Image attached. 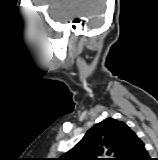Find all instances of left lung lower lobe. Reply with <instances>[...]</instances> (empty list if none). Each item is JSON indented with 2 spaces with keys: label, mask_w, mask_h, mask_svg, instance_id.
<instances>
[{
  "label": "left lung lower lobe",
  "mask_w": 158,
  "mask_h": 160,
  "mask_svg": "<svg viewBox=\"0 0 158 160\" xmlns=\"http://www.w3.org/2000/svg\"><path fill=\"white\" fill-rule=\"evenodd\" d=\"M124 160H151L148 157V153L144 147V143L136 134L133 137L130 149Z\"/></svg>",
  "instance_id": "left-lung-lower-lobe-1"
}]
</instances>
